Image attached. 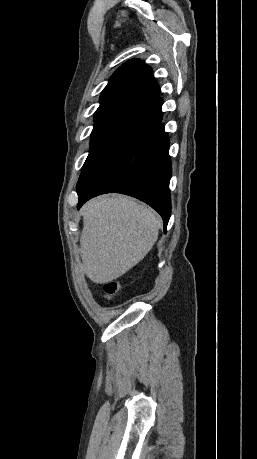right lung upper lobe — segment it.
<instances>
[{"label": "right lung upper lobe", "mask_w": 257, "mask_h": 459, "mask_svg": "<svg viewBox=\"0 0 257 459\" xmlns=\"http://www.w3.org/2000/svg\"><path fill=\"white\" fill-rule=\"evenodd\" d=\"M159 94L152 69L140 60L132 59L115 71L100 96L96 112L127 110L140 113L159 101Z\"/></svg>", "instance_id": "obj_1"}]
</instances>
